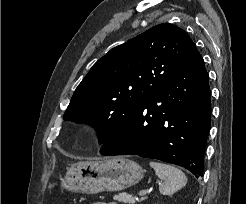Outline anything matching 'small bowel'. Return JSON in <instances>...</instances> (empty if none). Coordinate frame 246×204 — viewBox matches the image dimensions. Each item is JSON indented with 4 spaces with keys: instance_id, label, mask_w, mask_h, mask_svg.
<instances>
[{
    "instance_id": "obj_1",
    "label": "small bowel",
    "mask_w": 246,
    "mask_h": 204,
    "mask_svg": "<svg viewBox=\"0 0 246 204\" xmlns=\"http://www.w3.org/2000/svg\"><path fill=\"white\" fill-rule=\"evenodd\" d=\"M93 204H117L115 202H109V203H105V202H97V203H93Z\"/></svg>"
}]
</instances>
